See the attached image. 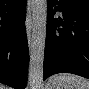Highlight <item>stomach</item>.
<instances>
[{
	"instance_id": "obj_1",
	"label": "stomach",
	"mask_w": 89,
	"mask_h": 89,
	"mask_svg": "<svg viewBox=\"0 0 89 89\" xmlns=\"http://www.w3.org/2000/svg\"><path fill=\"white\" fill-rule=\"evenodd\" d=\"M48 89H57V88L49 85Z\"/></svg>"
}]
</instances>
